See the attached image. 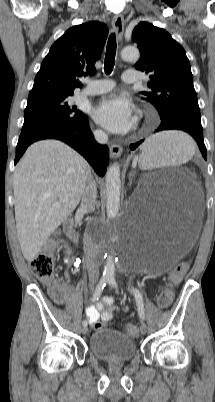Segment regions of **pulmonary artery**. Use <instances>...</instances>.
<instances>
[{
  "label": "pulmonary artery",
  "mask_w": 215,
  "mask_h": 402,
  "mask_svg": "<svg viewBox=\"0 0 215 402\" xmlns=\"http://www.w3.org/2000/svg\"><path fill=\"white\" fill-rule=\"evenodd\" d=\"M122 79L126 83H135L138 81V74L134 70H127L123 73ZM115 83L109 79L87 80V86L83 90L86 95H98L110 91Z\"/></svg>",
  "instance_id": "1"
}]
</instances>
